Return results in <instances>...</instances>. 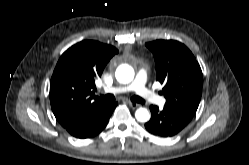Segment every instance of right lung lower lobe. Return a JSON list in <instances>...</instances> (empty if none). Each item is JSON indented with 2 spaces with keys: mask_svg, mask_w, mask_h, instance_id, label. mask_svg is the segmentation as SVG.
<instances>
[{
  "mask_svg": "<svg viewBox=\"0 0 249 165\" xmlns=\"http://www.w3.org/2000/svg\"><path fill=\"white\" fill-rule=\"evenodd\" d=\"M117 103H104L92 113L65 127L74 137L85 139L100 133L108 123Z\"/></svg>",
  "mask_w": 249,
  "mask_h": 165,
  "instance_id": "obj_1",
  "label": "right lung lower lobe"
}]
</instances>
